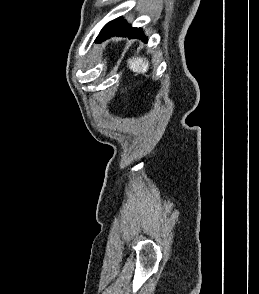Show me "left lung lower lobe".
I'll return each mask as SVG.
<instances>
[{"label":"left lung lower lobe","mask_w":259,"mask_h":294,"mask_svg":"<svg viewBox=\"0 0 259 294\" xmlns=\"http://www.w3.org/2000/svg\"><path fill=\"white\" fill-rule=\"evenodd\" d=\"M115 35L122 37L128 36L130 39L141 38L143 41L147 40L141 28L131 27L130 24L122 20V17L107 23L98 35L97 40L105 39Z\"/></svg>","instance_id":"obj_1"}]
</instances>
